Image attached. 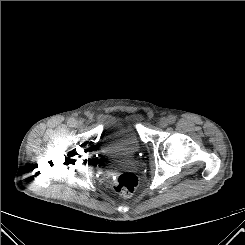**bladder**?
Wrapping results in <instances>:
<instances>
[{
	"instance_id": "obj_1",
	"label": "bladder",
	"mask_w": 245,
	"mask_h": 245,
	"mask_svg": "<svg viewBox=\"0 0 245 245\" xmlns=\"http://www.w3.org/2000/svg\"><path fill=\"white\" fill-rule=\"evenodd\" d=\"M102 124L108 132L104 141V153L112 158H129L142 147L139 124L142 116L138 112L104 114Z\"/></svg>"
}]
</instances>
